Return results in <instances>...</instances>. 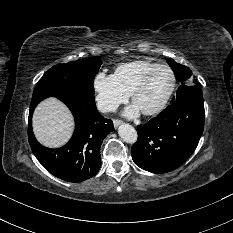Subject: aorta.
I'll return each mask as SVG.
<instances>
[{"mask_svg":"<svg viewBox=\"0 0 233 233\" xmlns=\"http://www.w3.org/2000/svg\"><path fill=\"white\" fill-rule=\"evenodd\" d=\"M118 134L124 142L129 144L135 143L138 138V134L135 128L126 123H123L119 126Z\"/></svg>","mask_w":233,"mask_h":233,"instance_id":"aorta-1","label":"aorta"}]
</instances>
